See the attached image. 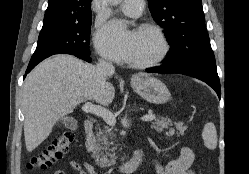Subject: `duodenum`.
<instances>
[{
  "label": "duodenum",
  "instance_id": "obj_1",
  "mask_svg": "<svg viewBox=\"0 0 249 174\" xmlns=\"http://www.w3.org/2000/svg\"><path fill=\"white\" fill-rule=\"evenodd\" d=\"M95 127L94 121L87 119L84 122L85 140L89 144L92 142V133ZM144 153L138 149L135 151L132 159L124 164L116 166V171L120 174H131L133 173L143 162Z\"/></svg>",
  "mask_w": 249,
  "mask_h": 174
}]
</instances>
